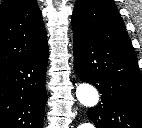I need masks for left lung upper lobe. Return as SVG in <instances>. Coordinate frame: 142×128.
Masks as SVG:
<instances>
[{
    "label": "left lung upper lobe",
    "instance_id": "5c2ea615",
    "mask_svg": "<svg viewBox=\"0 0 142 128\" xmlns=\"http://www.w3.org/2000/svg\"><path fill=\"white\" fill-rule=\"evenodd\" d=\"M72 25L73 29L135 55L113 0H77Z\"/></svg>",
    "mask_w": 142,
    "mask_h": 128
}]
</instances>
